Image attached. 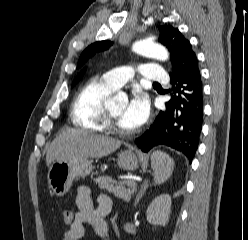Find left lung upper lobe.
I'll return each mask as SVG.
<instances>
[{"mask_svg":"<svg viewBox=\"0 0 248 240\" xmlns=\"http://www.w3.org/2000/svg\"><path fill=\"white\" fill-rule=\"evenodd\" d=\"M160 31L159 42L166 46L171 55L172 72L171 77L180 74L186 65L195 58L190 42L182 33L170 25L158 27ZM112 45L110 41H99L87 47L81 54L78 67H80L89 57L96 52L105 50Z\"/></svg>","mask_w":248,"mask_h":240,"instance_id":"obj_1","label":"left lung upper lobe"}]
</instances>
